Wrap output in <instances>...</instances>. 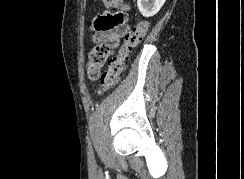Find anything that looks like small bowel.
<instances>
[{
    "instance_id": "small-bowel-1",
    "label": "small bowel",
    "mask_w": 244,
    "mask_h": 179,
    "mask_svg": "<svg viewBox=\"0 0 244 179\" xmlns=\"http://www.w3.org/2000/svg\"><path fill=\"white\" fill-rule=\"evenodd\" d=\"M122 20L123 16H120L119 13L104 11L99 14L93 21V42L98 43L123 36L127 31V27L122 24Z\"/></svg>"
}]
</instances>
